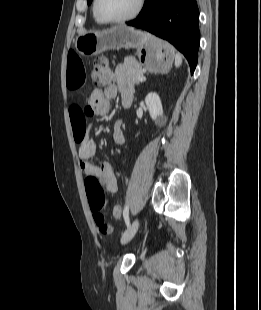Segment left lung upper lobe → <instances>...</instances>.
<instances>
[{"label": "left lung upper lobe", "mask_w": 261, "mask_h": 310, "mask_svg": "<svg viewBox=\"0 0 261 310\" xmlns=\"http://www.w3.org/2000/svg\"><path fill=\"white\" fill-rule=\"evenodd\" d=\"M87 2H88V5H90V4H91V2H92V0H87Z\"/></svg>", "instance_id": "5c2ea615"}]
</instances>
